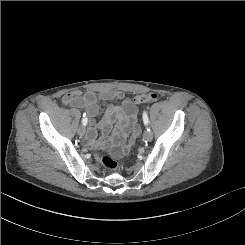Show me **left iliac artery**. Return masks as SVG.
Segmentation results:
<instances>
[{"mask_svg":"<svg viewBox=\"0 0 245 245\" xmlns=\"http://www.w3.org/2000/svg\"><path fill=\"white\" fill-rule=\"evenodd\" d=\"M143 121H144V124H145L146 126L149 125L148 114H147L146 111L143 112ZM148 130H150V129H148Z\"/></svg>","mask_w":245,"mask_h":245,"instance_id":"44dca946","label":"left iliac artery"}]
</instances>
